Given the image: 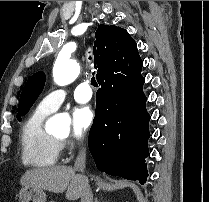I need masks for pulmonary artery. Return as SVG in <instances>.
<instances>
[{"label": "pulmonary artery", "instance_id": "obj_1", "mask_svg": "<svg viewBox=\"0 0 209 202\" xmlns=\"http://www.w3.org/2000/svg\"><path fill=\"white\" fill-rule=\"evenodd\" d=\"M73 95L78 103H86L92 98L93 91L86 83H80L73 89ZM66 96V90L54 89L41 99L39 106L49 112L56 111L63 104Z\"/></svg>", "mask_w": 209, "mask_h": 202}]
</instances>
